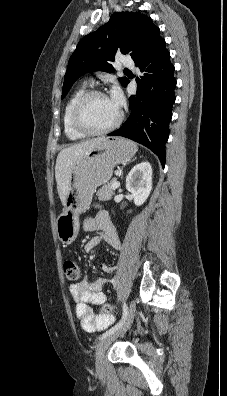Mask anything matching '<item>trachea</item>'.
I'll return each instance as SVG.
<instances>
[{"label":"trachea","instance_id":"3493384b","mask_svg":"<svg viewBox=\"0 0 227 396\" xmlns=\"http://www.w3.org/2000/svg\"><path fill=\"white\" fill-rule=\"evenodd\" d=\"M124 71H129L128 69H124Z\"/></svg>","mask_w":227,"mask_h":396}]
</instances>
